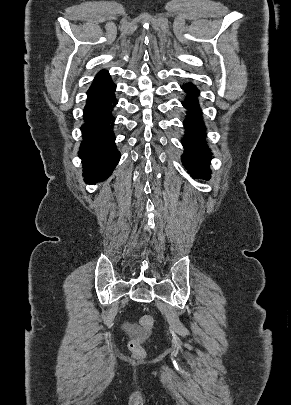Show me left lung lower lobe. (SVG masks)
Wrapping results in <instances>:
<instances>
[{
    "instance_id": "0a47b994",
    "label": "left lung lower lobe",
    "mask_w": 291,
    "mask_h": 405,
    "mask_svg": "<svg viewBox=\"0 0 291 405\" xmlns=\"http://www.w3.org/2000/svg\"><path fill=\"white\" fill-rule=\"evenodd\" d=\"M188 97L182 101V105L188 110L187 119L184 120V126L188 132L182 139L184 146V154L182 161L188 173L193 177H209V164L211 161V153L204 141L203 130L205 128L200 117V107L197 100L199 93L195 85L187 83L182 86Z\"/></svg>"
}]
</instances>
